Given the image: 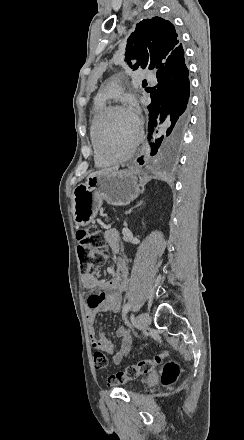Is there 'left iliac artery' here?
Masks as SVG:
<instances>
[{
  "mask_svg": "<svg viewBox=\"0 0 244 440\" xmlns=\"http://www.w3.org/2000/svg\"><path fill=\"white\" fill-rule=\"evenodd\" d=\"M130 309H131V304H130V303L125 304L124 307H123V309H122V317H123V320H125V323H127L129 326H130V324H129V322L126 320V315H127L128 311H129Z\"/></svg>",
  "mask_w": 244,
  "mask_h": 440,
  "instance_id": "obj_1",
  "label": "left iliac artery"
}]
</instances>
